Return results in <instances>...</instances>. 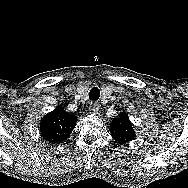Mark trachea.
Wrapping results in <instances>:
<instances>
[{"mask_svg":"<svg viewBox=\"0 0 188 188\" xmlns=\"http://www.w3.org/2000/svg\"><path fill=\"white\" fill-rule=\"evenodd\" d=\"M100 97V90L98 87H93L89 92V99L91 101H97Z\"/></svg>","mask_w":188,"mask_h":188,"instance_id":"trachea-1","label":"trachea"}]
</instances>
